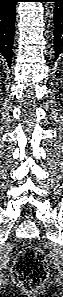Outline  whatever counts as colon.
<instances>
[{
    "instance_id": "5ec220e1",
    "label": "colon",
    "mask_w": 63,
    "mask_h": 297,
    "mask_svg": "<svg viewBox=\"0 0 63 297\" xmlns=\"http://www.w3.org/2000/svg\"><path fill=\"white\" fill-rule=\"evenodd\" d=\"M47 277V266L43 252L34 246L23 249L13 266V278L27 291H35Z\"/></svg>"
}]
</instances>
